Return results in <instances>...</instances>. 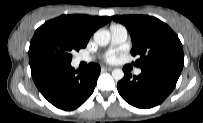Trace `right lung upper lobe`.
I'll return each instance as SVG.
<instances>
[{
    "label": "right lung upper lobe",
    "instance_id": "obj_1",
    "mask_svg": "<svg viewBox=\"0 0 203 123\" xmlns=\"http://www.w3.org/2000/svg\"><path fill=\"white\" fill-rule=\"evenodd\" d=\"M111 20L108 16H89V15H61L48 22L59 24L69 29L85 46L90 36L100 27Z\"/></svg>",
    "mask_w": 203,
    "mask_h": 123
}]
</instances>
